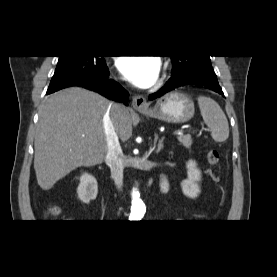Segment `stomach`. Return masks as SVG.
Listing matches in <instances>:
<instances>
[{
  "instance_id": "stomach-1",
  "label": "stomach",
  "mask_w": 277,
  "mask_h": 277,
  "mask_svg": "<svg viewBox=\"0 0 277 277\" xmlns=\"http://www.w3.org/2000/svg\"><path fill=\"white\" fill-rule=\"evenodd\" d=\"M140 112L167 123L179 124L188 122L194 116L195 108L187 95L170 92L161 97L153 108L142 109Z\"/></svg>"
}]
</instances>
